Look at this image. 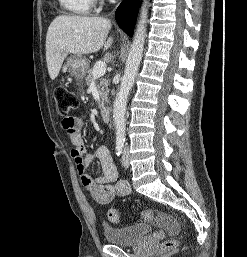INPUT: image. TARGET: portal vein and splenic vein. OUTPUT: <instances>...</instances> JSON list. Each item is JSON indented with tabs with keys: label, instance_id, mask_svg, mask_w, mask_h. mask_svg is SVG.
Returning <instances> with one entry per match:
<instances>
[{
	"label": "portal vein and splenic vein",
	"instance_id": "18ae733b",
	"mask_svg": "<svg viewBox=\"0 0 247 257\" xmlns=\"http://www.w3.org/2000/svg\"><path fill=\"white\" fill-rule=\"evenodd\" d=\"M105 72H106V63L102 61L96 62L92 71L93 78L97 79L103 76Z\"/></svg>",
	"mask_w": 247,
	"mask_h": 257
}]
</instances>
